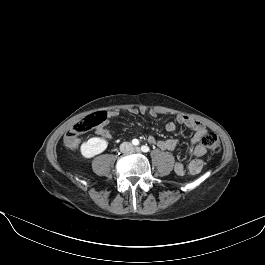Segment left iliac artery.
Instances as JSON below:
<instances>
[{"label":"left iliac artery","instance_id":"44dca946","mask_svg":"<svg viewBox=\"0 0 265 265\" xmlns=\"http://www.w3.org/2000/svg\"><path fill=\"white\" fill-rule=\"evenodd\" d=\"M141 150H142L143 152H148L150 149H149L148 146L143 145V146L141 147Z\"/></svg>","mask_w":265,"mask_h":265}]
</instances>
